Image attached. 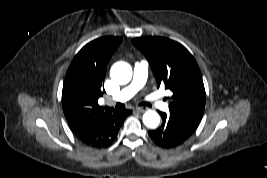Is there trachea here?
<instances>
[{"label": "trachea", "mask_w": 267, "mask_h": 178, "mask_svg": "<svg viewBox=\"0 0 267 178\" xmlns=\"http://www.w3.org/2000/svg\"><path fill=\"white\" fill-rule=\"evenodd\" d=\"M142 105L151 107V104H150V103H146V102L143 103ZM121 107H123V104H122V103H117V104H116V108H121Z\"/></svg>", "instance_id": "3493384b"}]
</instances>
